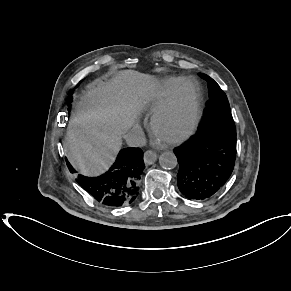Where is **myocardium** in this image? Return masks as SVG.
Returning a JSON list of instances; mask_svg holds the SVG:
<instances>
[{
	"label": "myocardium",
	"instance_id": "myocardium-1",
	"mask_svg": "<svg viewBox=\"0 0 291 291\" xmlns=\"http://www.w3.org/2000/svg\"><path fill=\"white\" fill-rule=\"evenodd\" d=\"M189 91L190 122L188 127L179 135L163 139L167 144L176 145L187 140L197 129L202 116V93L198 82L192 78L180 80L169 92L160 108L154 113L151 120V129L158 136V126L176 107L185 91Z\"/></svg>",
	"mask_w": 291,
	"mask_h": 291
}]
</instances>
